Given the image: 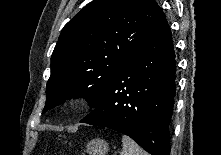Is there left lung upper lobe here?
<instances>
[{"mask_svg": "<svg viewBox=\"0 0 221 155\" xmlns=\"http://www.w3.org/2000/svg\"><path fill=\"white\" fill-rule=\"evenodd\" d=\"M161 14L155 0H94L84 7L53 51L44 112L76 96L95 107Z\"/></svg>", "mask_w": 221, "mask_h": 155, "instance_id": "obj_1", "label": "left lung upper lobe"}]
</instances>
